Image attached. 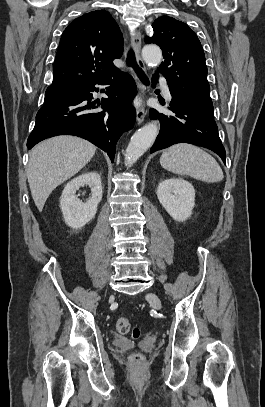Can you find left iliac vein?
Wrapping results in <instances>:
<instances>
[{"mask_svg": "<svg viewBox=\"0 0 265 407\" xmlns=\"http://www.w3.org/2000/svg\"><path fill=\"white\" fill-rule=\"evenodd\" d=\"M146 299L153 305L154 308H161V301L159 297L154 293H148Z\"/></svg>", "mask_w": 265, "mask_h": 407, "instance_id": "left-iliac-vein-1", "label": "left iliac vein"}]
</instances>
